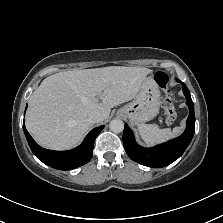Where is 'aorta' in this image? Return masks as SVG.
<instances>
[{"instance_id":"aorta-1","label":"aorta","mask_w":223,"mask_h":223,"mask_svg":"<svg viewBox=\"0 0 223 223\" xmlns=\"http://www.w3.org/2000/svg\"><path fill=\"white\" fill-rule=\"evenodd\" d=\"M110 130L114 133H120L124 129V123L120 119H114L109 124Z\"/></svg>"}]
</instances>
